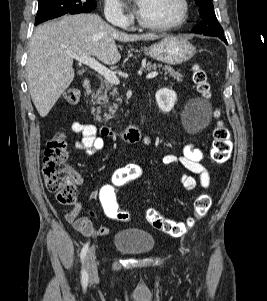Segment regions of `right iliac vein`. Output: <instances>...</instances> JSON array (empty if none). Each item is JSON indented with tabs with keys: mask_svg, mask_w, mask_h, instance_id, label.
Returning <instances> with one entry per match:
<instances>
[{
	"mask_svg": "<svg viewBox=\"0 0 267 301\" xmlns=\"http://www.w3.org/2000/svg\"><path fill=\"white\" fill-rule=\"evenodd\" d=\"M87 271L90 280H93L97 277L98 269L95 255L94 246L91 247L86 255Z\"/></svg>",
	"mask_w": 267,
	"mask_h": 301,
	"instance_id": "1",
	"label": "right iliac vein"
}]
</instances>
